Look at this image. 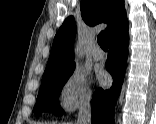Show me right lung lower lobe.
Masks as SVG:
<instances>
[{
    "label": "right lung lower lobe",
    "instance_id": "1",
    "mask_svg": "<svg viewBox=\"0 0 156 124\" xmlns=\"http://www.w3.org/2000/svg\"><path fill=\"white\" fill-rule=\"evenodd\" d=\"M106 69L113 77L112 87L98 89L93 96L92 124H114V107L124 80L128 56V29L109 40Z\"/></svg>",
    "mask_w": 156,
    "mask_h": 124
}]
</instances>
